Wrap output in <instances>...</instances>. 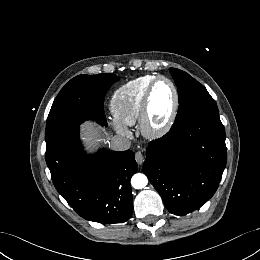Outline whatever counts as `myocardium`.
Returning a JSON list of instances; mask_svg holds the SVG:
<instances>
[{
	"instance_id": "myocardium-1",
	"label": "myocardium",
	"mask_w": 260,
	"mask_h": 260,
	"mask_svg": "<svg viewBox=\"0 0 260 260\" xmlns=\"http://www.w3.org/2000/svg\"><path fill=\"white\" fill-rule=\"evenodd\" d=\"M160 81H165L171 86L174 94V106L168 121L159 128H153L150 124L151 98L157 84ZM179 110H180V94L175 83L170 78L165 76L156 77L149 85L142 102L140 118H139V127L142 135L149 139H158L168 134L170 130L173 128L177 120Z\"/></svg>"
}]
</instances>
